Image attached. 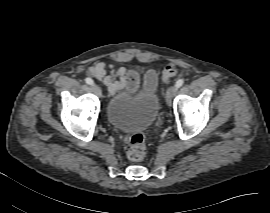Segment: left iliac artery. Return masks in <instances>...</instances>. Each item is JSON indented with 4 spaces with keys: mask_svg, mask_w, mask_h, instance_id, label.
<instances>
[{
    "mask_svg": "<svg viewBox=\"0 0 270 213\" xmlns=\"http://www.w3.org/2000/svg\"><path fill=\"white\" fill-rule=\"evenodd\" d=\"M184 84V80L183 79H178L175 83L176 88L181 87Z\"/></svg>",
    "mask_w": 270,
    "mask_h": 213,
    "instance_id": "44dca946",
    "label": "left iliac artery"
}]
</instances>
